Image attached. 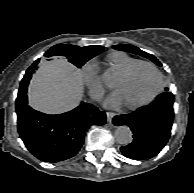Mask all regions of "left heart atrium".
I'll return each instance as SVG.
<instances>
[{"mask_svg":"<svg viewBox=\"0 0 194 193\" xmlns=\"http://www.w3.org/2000/svg\"><path fill=\"white\" fill-rule=\"evenodd\" d=\"M123 103L118 91L113 92L106 100L105 105L108 107H117Z\"/></svg>","mask_w":194,"mask_h":193,"instance_id":"1","label":"left heart atrium"}]
</instances>
